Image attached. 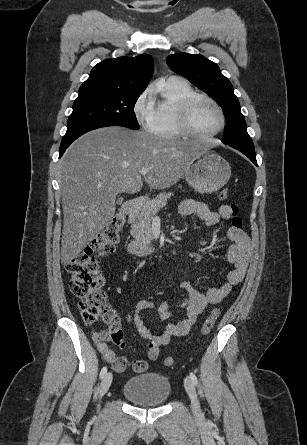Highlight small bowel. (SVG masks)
<instances>
[{"mask_svg":"<svg viewBox=\"0 0 307 445\" xmlns=\"http://www.w3.org/2000/svg\"><path fill=\"white\" fill-rule=\"evenodd\" d=\"M179 213L183 216L195 215L207 226H214L219 221L229 220L233 216L230 205H222L218 211H211L205 204L191 199L184 200L180 204ZM227 236L231 241L227 250V259L234 266L227 276V281L221 286L212 287L206 291H200L189 281H183L182 299L177 303L162 302L158 306L160 318L168 321L162 333H155L149 329L142 319L143 311L153 308L154 303L149 299L137 303L133 323L140 337L147 341V353L150 360L158 358L160 347L166 345L171 338L186 336L209 305L219 304L230 293L232 287L243 280L251 256L250 239L241 228L235 227L228 230ZM174 308L185 311L183 319L171 321ZM93 337L104 360L110 363L116 372H123L128 361L125 357L116 355L105 343V340H108V331L94 332ZM119 346L123 348L124 344ZM132 367L135 372L141 373L146 371L148 363L137 359L132 362Z\"/></svg>","mask_w":307,"mask_h":445,"instance_id":"c3829d8e","label":"small bowel"}]
</instances>
